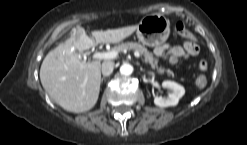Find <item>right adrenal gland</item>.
Listing matches in <instances>:
<instances>
[{
  "instance_id": "obj_1",
  "label": "right adrenal gland",
  "mask_w": 247,
  "mask_h": 145,
  "mask_svg": "<svg viewBox=\"0 0 247 145\" xmlns=\"http://www.w3.org/2000/svg\"><path fill=\"white\" fill-rule=\"evenodd\" d=\"M104 79H105V77H102L101 82H103Z\"/></svg>"
}]
</instances>
